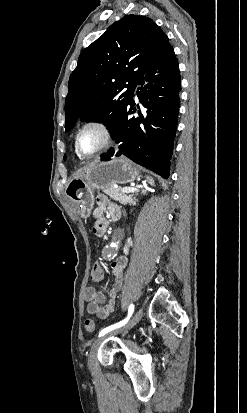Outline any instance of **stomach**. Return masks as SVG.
I'll return each mask as SVG.
<instances>
[{"instance_id":"obj_1","label":"stomach","mask_w":247,"mask_h":413,"mask_svg":"<svg viewBox=\"0 0 247 413\" xmlns=\"http://www.w3.org/2000/svg\"><path fill=\"white\" fill-rule=\"evenodd\" d=\"M138 174L136 166L126 158L94 162L87 170L67 182L65 194L71 202H76L82 219H87L94 207V190L133 182Z\"/></svg>"}]
</instances>
